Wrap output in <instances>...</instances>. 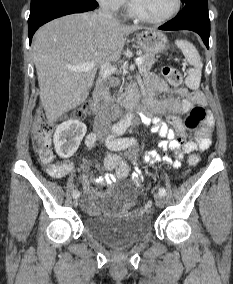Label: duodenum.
Listing matches in <instances>:
<instances>
[{"label":"duodenum","instance_id":"duodenum-1","mask_svg":"<svg viewBox=\"0 0 233 284\" xmlns=\"http://www.w3.org/2000/svg\"><path fill=\"white\" fill-rule=\"evenodd\" d=\"M104 88H105V81L103 78H100L97 81V86L93 94L96 112H100L102 109V103L104 99ZM135 104H136V95H131L127 99L125 107L131 109L135 106Z\"/></svg>","mask_w":233,"mask_h":284}]
</instances>
